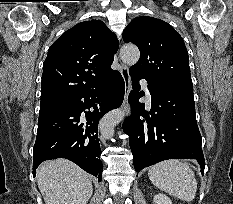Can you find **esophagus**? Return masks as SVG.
Here are the masks:
<instances>
[{"mask_svg": "<svg viewBox=\"0 0 233 204\" xmlns=\"http://www.w3.org/2000/svg\"><path fill=\"white\" fill-rule=\"evenodd\" d=\"M120 73H121V75L124 79V82H125V95H124V100L122 102L121 107L123 110H125L128 113L129 112L128 94L131 90V78H130L128 67L124 64H121Z\"/></svg>", "mask_w": 233, "mask_h": 204, "instance_id": "esophagus-1", "label": "esophagus"}]
</instances>
